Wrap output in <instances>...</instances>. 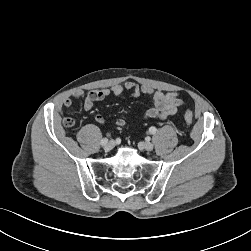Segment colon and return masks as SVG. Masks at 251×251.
I'll use <instances>...</instances> for the list:
<instances>
[{
    "label": "colon",
    "mask_w": 251,
    "mask_h": 251,
    "mask_svg": "<svg viewBox=\"0 0 251 251\" xmlns=\"http://www.w3.org/2000/svg\"><path fill=\"white\" fill-rule=\"evenodd\" d=\"M184 120H185L187 125H192V123H193V114H192V112L190 110H187L184 113ZM63 123H64L65 126L71 127V126L74 125L75 120L73 118L67 117V118H64Z\"/></svg>",
    "instance_id": "1"
}]
</instances>
